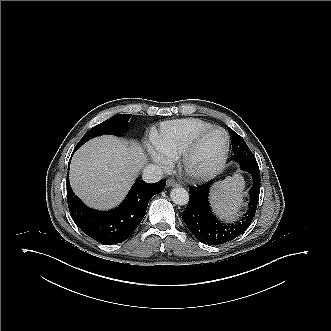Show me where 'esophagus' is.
Returning <instances> with one entry per match:
<instances>
[{
    "instance_id": "1",
    "label": "esophagus",
    "mask_w": 331,
    "mask_h": 331,
    "mask_svg": "<svg viewBox=\"0 0 331 331\" xmlns=\"http://www.w3.org/2000/svg\"><path fill=\"white\" fill-rule=\"evenodd\" d=\"M167 187H174V186H178L179 183L177 181H175L174 179H168L166 182Z\"/></svg>"
}]
</instances>
